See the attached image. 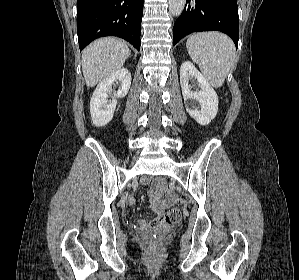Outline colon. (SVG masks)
<instances>
[{
	"instance_id": "obj_1",
	"label": "colon",
	"mask_w": 299,
	"mask_h": 280,
	"mask_svg": "<svg viewBox=\"0 0 299 280\" xmlns=\"http://www.w3.org/2000/svg\"><path fill=\"white\" fill-rule=\"evenodd\" d=\"M165 184H163V188ZM181 211L178 208H170L165 213H163L159 219V223L163 227H169L178 223L181 219ZM158 234L156 231H152L149 235L151 244L154 246L157 242Z\"/></svg>"
}]
</instances>
